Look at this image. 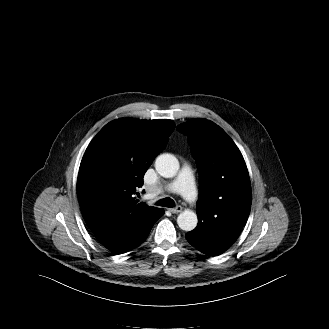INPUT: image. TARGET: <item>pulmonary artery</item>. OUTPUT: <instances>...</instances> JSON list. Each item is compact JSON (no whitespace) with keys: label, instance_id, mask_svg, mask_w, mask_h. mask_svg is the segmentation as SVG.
Masks as SVG:
<instances>
[{"label":"pulmonary artery","instance_id":"1","mask_svg":"<svg viewBox=\"0 0 329 329\" xmlns=\"http://www.w3.org/2000/svg\"><path fill=\"white\" fill-rule=\"evenodd\" d=\"M163 189L167 192L178 193L189 202H194L197 199L194 176L188 166H184L178 176L164 185Z\"/></svg>","mask_w":329,"mask_h":329}]
</instances>
